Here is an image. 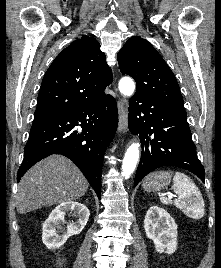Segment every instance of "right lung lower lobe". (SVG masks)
Listing matches in <instances>:
<instances>
[{
  "label": "right lung lower lobe",
  "mask_w": 221,
  "mask_h": 268,
  "mask_svg": "<svg viewBox=\"0 0 221 268\" xmlns=\"http://www.w3.org/2000/svg\"><path fill=\"white\" fill-rule=\"evenodd\" d=\"M117 125L118 110L111 95L64 113L36 116L17 181L36 162L62 154L79 167L100 199L103 158Z\"/></svg>",
  "instance_id": "right-lung-lower-lobe-1"
}]
</instances>
